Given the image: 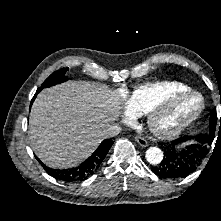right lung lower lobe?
Masks as SVG:
<instances>
[{
    "instance_id": "1",
    "label": "right lung lower lobe",
    "mask_w": 221,
    "mask_h": 221,
    "mask_svg": "<svg viewBox=\"0 0 221 221\" xmlns=\"http://www.w3.org/2000/svg\"><path fill=\"white\" fill-rule=\"evenodd\" d=\"M40 91H41L40 88H38L36 94L32 99V102ZM112 144H113L112 139L104 140L100 144V146L96 149V151L87 160H85L83 163H81L79 166L75 168L53 169L46 166H44V168L46 169V172H48L51 176L65 182H76V181L85 180L86 178H88L89 176L93 175L96 172V170L103 162ZM37 160L41 163V161L38 158Z\"/></svg>"
}]
</instances>
